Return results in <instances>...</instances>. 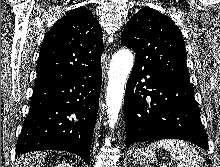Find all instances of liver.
Masks as SVG:
<instances>
[{"instance_id": "obj_1", "label": "liver", "mask_w": 220, "mask_h": 167, "mask_svg": "<svg viewBox=\"0 0 220 167\" xmlns=\"http://www.w3.org/2000/svg\"><path fill=\"white\" fill-rule=\"evenodd\" d=\"M46 153H31L22 156L17 161L16 167H41Z\"/></svg>"}]
</instances>
